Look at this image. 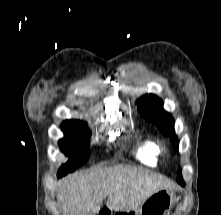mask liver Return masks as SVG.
I'll use <instances>...</instances> for the list:
<instances>
[{
    "label": "liver",
    "mask_w": 221,
    "mask_h": 215,
    "mask_svg": "<svg viewBox=\"0 0 221 215\" xmlns=\"http://www.w3.org/2000/svg\"><path fill=\"white\" fill-rule=\"evenodd\" d=\"M175 188L163 176L120 164L65 177L58 184L57 201L63 215H95L106 197L111 211L132 210L155 192Z\"/></svg>",
    "instance_id": "1"
}]
</instances>
